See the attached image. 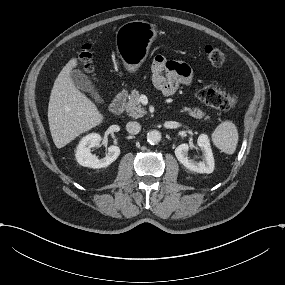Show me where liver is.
Here are the masks:
<instances>
[{
  "instance_id": "6515ba94",
  "label": "liver",
  "mask_w": 285,
  "mask_h": 285,
  "mask_svg": "<svg viewBox=\"0 0 285 285\" xmlns=\"http://www.w3.org/2000/svg\"><path fill=\"white\" fill-rule=\"evenodd\" d=\"M77 66L72 58L56 78L48 105V122L57 148H62L103 122L96 105L74 85L70 72Z\"/></svg>"
}]
</instances>
